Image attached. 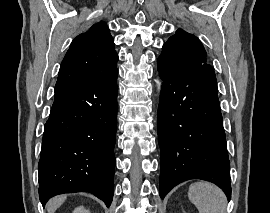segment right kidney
Masks as SVG:
<instances>
[{
  "instance_id": "ca27d5eb",
  "label": "right kidney",
  "mask_w": 270,
  "mask_h": 213,
  "mask_svg": "<svg viewBox=\"0 0 270 213\" xmlns=\"http://www.w3.org/2000/svg\"><path fill=\"white\" fill-rule=\"evenodd\" d=\"M72 213H90L89 210H86L84 206H79L75 208V210Z\"/></svg>"
}]
</instances>
